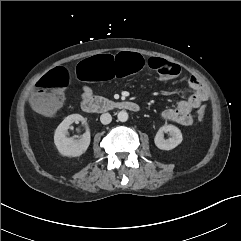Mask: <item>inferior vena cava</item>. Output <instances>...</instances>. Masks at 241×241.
<instances>
[{"label": "inferior vena cava", "mask_w": 241, "mask_h": 241, "mask_svg": "<svg viewBox=\"0 0 241 241\" xmlns=\"http://www.w3.org/2000/svg\"><path fill=\"white\" fill-rule=\"evenodd\" d=\"M100 121L102 124L106 125L112 121V117L109 113H104L100 116Z\"/></svg>", "instance_id": "inferior-vena-cava-1"}]
</instances>
